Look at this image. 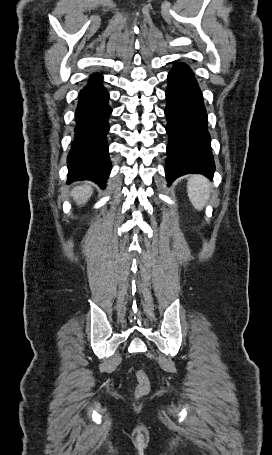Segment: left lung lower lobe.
<instances>
[{
    "label": "left lung lower lobe",
    "mask_w": 272,
    "mask_h": 455,
    "mask_svg": "<svg viewBox=\"0 0 272 455\" xmlns=\"http://www.w3.org/2000/svg\"><path fill=\"white\" fill-rule=\"evenodd\" d=\"M169 136L165 173L169 183L188 173L212 179L215 164L207 131V113L198 83L184 63L173 66L166 90Z\"/></svg>",
    "instance_id": "1"
}]
</instances>
